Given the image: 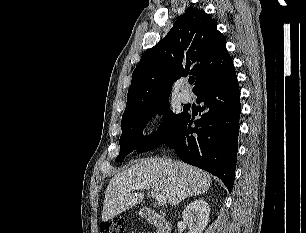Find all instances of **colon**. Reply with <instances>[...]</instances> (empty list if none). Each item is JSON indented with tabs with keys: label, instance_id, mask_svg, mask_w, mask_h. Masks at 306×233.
Instances as JSON below:
<instances>
[{
	"label": "colon",
	"instance_id": "1",
	"mask_svg": "<svg viewBox=\"0 0 306 233\" xmlns=\"http://www.w3.org/2000/svg\"><path fill=\"white\" fill-rule=\"evenodd\" d=\"M125 221L120 218L112 219L109 222L101 224V233H124Z\"/></svg>",
	"mask_w": 306,
	"mask_h": 233
}]
</instances>
